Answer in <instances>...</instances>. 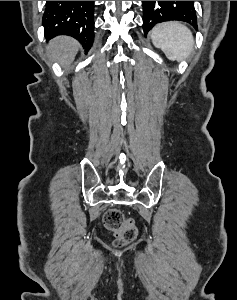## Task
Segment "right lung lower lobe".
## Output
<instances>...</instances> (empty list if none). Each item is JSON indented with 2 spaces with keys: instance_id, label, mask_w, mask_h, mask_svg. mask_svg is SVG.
Segmentation results:
<instances>
[{
  "instance_id": "1",
  "label": "right lung lower lobe",
  "mask_w": 237,
  "mask_h": 300,
  "mask_svg": "<svg viewBox=\"0 0 237 300\" xmlns=\"http://www.w3.org/2000/svg\"><path fill=\"white\" fill-rule=\"evenodd\" d=\"M43 25L47 39L72 36L88 50L94 39V1H47Z\"/></svg>"
}]
</instances>
